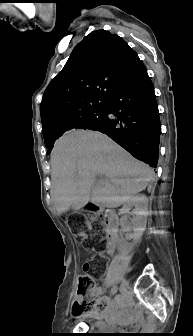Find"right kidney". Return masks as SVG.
<instances>
[{
  "mask_svg": "<svg viewBox=\"0 0 193 336\" xmlns=\"http://www.w3.org/2000/svg\"><path fill=\"white\" fill-rule=\"evenodd\" d=\"M134 207L133 210V243L137 244L143 235L147 224L148 216V198L144 194H139L128 198L122 210L127 213Z\"/></svg>",
  "mask_w": 193,
  "mask_h": 336,
  "instance_id": "ca27d5eb",
  "label": "right kidney"
}]
</instances>
